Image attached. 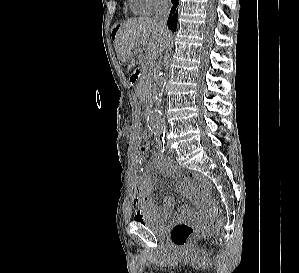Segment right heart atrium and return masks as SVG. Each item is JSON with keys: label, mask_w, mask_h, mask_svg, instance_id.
<instances>
[{"label": "right heart atrium", "mask_w": 299, "mask_h": 273, "mask_svg": "<svg viewBox=\"0 0 299 273\" xmlns=\"http://www.w3.org/2000/svg\"><path fill=\"white\" fill-rule=\"evenodd\" d=\"M141 13H150L164 5L168 0H133Z\"/></svg>", "instance_id": "obj_1"}]
</instances>
